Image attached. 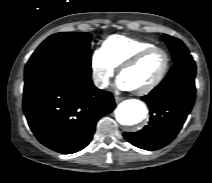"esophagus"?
Returning <instances> with one entry per match:
<instances>
[{
	"mask_svg": "<svg viewBox=\"0 0 212 183\" xmlns=\"http://www.w3.org/2000/svg\"><path fill=\"white\" fill-rule=\"evenodd\" d=\"M122 100V97L120 96H115V102L118 103Z\"/></svg>",
	"mask_w": 212,
	"mask_h": 183,
	"instance_id": "34e87169",
	"label": "esophagus"
}]
</instances>
